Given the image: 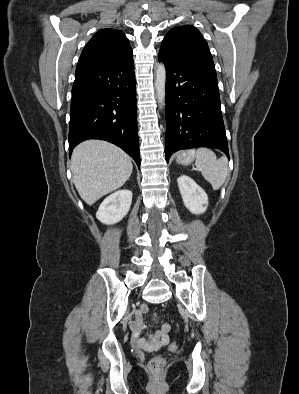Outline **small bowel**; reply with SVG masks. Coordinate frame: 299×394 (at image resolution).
Wrapping results in <instances>:
<instances>
[{
    "mask_svg": "<svg viewBox=\"0 0 299 394\" xmlns=\"http://www.w3.org/2000/svg\"><path fill=\"white\" fill-rule=\"evenodd\" d=\"M148 312L146 305L140 306L136 312V320L132 323V342L133 345L146 352H154L169 344L170 326L167 323L162 324L152 333L142 336L145 328L142 320L143 315Z\"/></svg>",
    "mask_w": 299,
    "mask_h": 394,
    "instance_id": "small-bowel-1",
    "label": "small bowel"
}]
</instances>
